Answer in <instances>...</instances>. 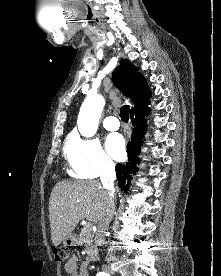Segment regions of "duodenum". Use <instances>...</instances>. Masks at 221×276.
<instances>
[{
    "label": "duodenum",
    "mask_w": 221,
    "mask_h": 276,
    "mask_svg": "<svg viewBox=\"0 0 221 276\" xmlns=\"http://www.w3.org/2000/svg\"><path fill=\"white\" fill-rule=\"evenodd\" d=\"M88 255L91 260H96L98 257V251L96 249H90Z\"/></svg>",
    "instance_id": "410a0bca"
}]
</instances>
